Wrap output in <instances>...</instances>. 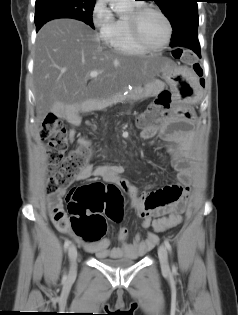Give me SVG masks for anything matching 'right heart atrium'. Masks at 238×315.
Returning <instances> with one entry per match:
<instances>
[{"instance_id": "right-heart-atrium-1", "label": "right heart atrium", "mask_w": 238, "mask_h": 315, "mask_svg": "<svg viewBox=\"0 0 238 315\" xmlns=\"http://www.w3.org/2000/svg\"><path fill=\"white\" fill-rule=\"evenodd\" d=\"M114 20L106 0H95L91 8V22L103 38Z\"/></svg>"}]
</instances>
